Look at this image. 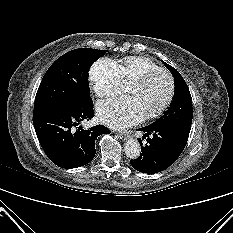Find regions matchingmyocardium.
I'll list each match as a JSON object with an SVG mask.
<instances>
[{
	"mask_svg": "<svg viewBox=\"0 0 233 233\" xmlns=\"http://www.w3.org/2000/svg\"><path fill=\"white\" fill-rule=\"evenodd\" d=\"M158 73H162L167 77L168 83H169V91H168V95H167L165 101L157 109L146 113L147 118H154V117L159 116L164 111H166L167 108L170 106V104L172 103V101L174 99V95H175V80H174L172 74L168 70H166L164 68H160V67L148 70V71L144 72L143 74L139 75L138 77L132 79V82H134V83L144 84L150 78H152L154 75H156Z\"/></svg>",
	"mask_w": 233,
	"mask_h": 233,
	"instance_id": "myocardium-1",
	"label": "myocardium"
}]
</instances>
